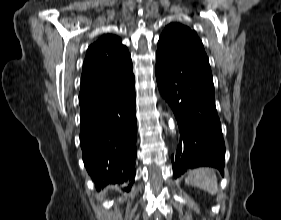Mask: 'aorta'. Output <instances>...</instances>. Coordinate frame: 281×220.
I'll return each instance as SVG.
<instances>
[{
    "mask_svg": "<svg viewBox=\"0 0 281 220\" xmlns=\"http://www.w3.org/2000/svg\"><path fill=\"white\" fill-rule=\"evenodd\" d=\"M174 122H173V120L172 119H170L169 120V128H170V130L173 132L174 131Z\"/></svg>",
    "mask_w": 281,
    "mask_h": 220,
    "instance_id": "762f6f07",
    "label": "aorta"
}]
</instances>
